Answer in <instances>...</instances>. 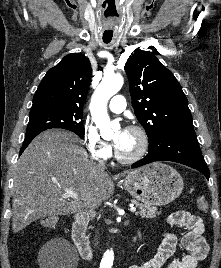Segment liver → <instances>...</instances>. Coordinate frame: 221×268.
Segmentation results:
<instances>
[{"label": "liver", "mask_w": 221, "mask_h": 268, "mask_svg": "<svg viewBox=\"0 0 221 268\" xmlns=\"http://www.w3.org/2000/svg\"><path fill=\"white\" fill-rule=\"evenodd\" d=\"M77 142L71 132L47 130L22 153L14 168L13 232L46 216L93 209L113 195L109 174ZM66 189L78 198H63Z\"/></svg>", "instance_id": "1"}]
</instances>
